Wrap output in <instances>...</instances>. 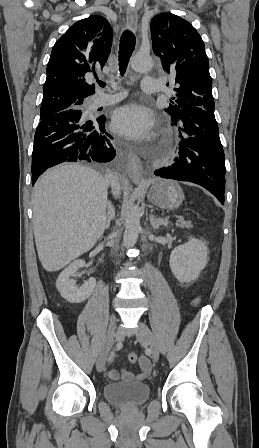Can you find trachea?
<instances>
[{"label": "trachea", "instance_id": "1", "mask_svg": "<svg viewBox=\"0 0 259 448\" xmlns=\"http://www.w3.org/2000/svg\"><path fill=\"white\" fill-rule=\"evenodd\" d=\"M135 44L136 40L134 34L129 30H125L120 39L119 52H118L119 71L121 73V76H123V74L126 71L129 59L133 53V50H135ZM97 83L99 87L106 86V83L102 82L101 80H98Z\"/></svg>", "mask_w": 259, "mask_h": 448}]
</instances>
